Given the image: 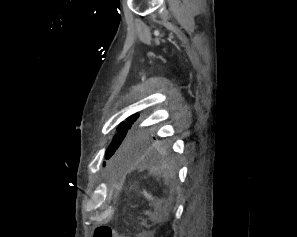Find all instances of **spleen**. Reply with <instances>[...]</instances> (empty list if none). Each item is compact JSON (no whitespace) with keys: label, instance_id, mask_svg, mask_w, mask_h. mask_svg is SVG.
I'll use <instances>...</instances> for the list:
<instances>
[{"label":"spleen","instance_id":"obj_1","mask_svg":"<svg viewBox=\"0 0 297 237\" xmlns=\"http://www.w3.org/2000/svg\"><path fill=\"white\" fill-rule=\"evenodd\" d=\"M146 198L153 200L152 196L150 194H148L147 192L144 193Z\"/></svg>","mask_w":297,"mask_h":237}]
</instances>
